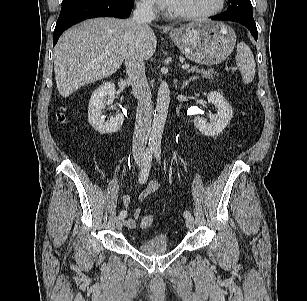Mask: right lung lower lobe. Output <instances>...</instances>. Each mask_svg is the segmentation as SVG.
<instances>
[{"label":"right lung lower lobe","instance_id":"1","mask_svg":"<svg viewBox=\"0 0 307 301\" xmlns=\"http://www.w3.org/2000/svg\"><path fill=\"white\" fill-rule=\"evenodd\" d=\"M133 0H80L63 5L54 30V44L70 26L93 17L127 18L132 10Z\"/></svg>","mask_w":307,"mask_h":301}]
</instances>
